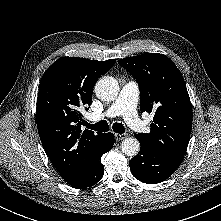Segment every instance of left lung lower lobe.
Segmentation results:
<instances>
[{
    "label": "left lung lower lobe",
    "instance_id": "obj_1",
    "mask_svg": "<svg viewBox=\"0 0 221 221\" xmlns=\"http://www.w3.org/2000/svg\"><path fill=\"white\" fill-rule=\"evenodd\" d=\"M183 158L151 151L141 146L137 156L129 161L132 175L147 184H157L170 177Z\"/></svg>",
    "mask_w": 221,
    "mask_h": 221
}]
</instances>
